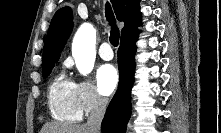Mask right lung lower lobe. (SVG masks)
Listing matches in <instances>:
<instances>
[{"label": "right lung lower lobe", "mask_w": 221, "mask_h": 133, "mask_svg": "<svg viewBox=\"0 0 221 133\" xmlns=\"http://www.w3.org/2000/svg\"><path fill=\"white\" fill-rule=\"evenodd\" d=\"M139 31L121 38L118 50L119 84L101 124L102 133H124L131 114V88L135 72L136 40Z\"/></svg>", "instance_id": "obj_1"}]
</instances>
